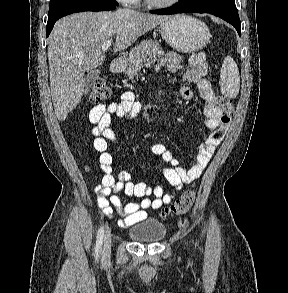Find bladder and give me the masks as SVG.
Masks as SVG:
<instances>
[{
    "mask_svg": "<svg viewBox=\"0 0 288 293\" xmlns=\"http://www.w3.org/2000/svg\"><path fill=\"white\" fill-rule=\"evenodd\" d=\"M165 234V226L155 219L134 225L128 231V235L133 241L141 243L158 242L164 238Z\"/></svg>",
    "mask_w": 288,
    "mask_h": 293,
    "instance_id": "obj_1",
    "label": "bladder"
}]
</instances>
